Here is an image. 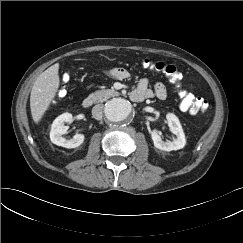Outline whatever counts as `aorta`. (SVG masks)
Here are the masks:
<instances>
[{
    "instance_id": "1",
    "label": "aorta",
    "mask_w": 243,
    "mask_h": 243,
    "mask_svg": "<svg viewBox=\"0 0 243 243\" xmlns=\"http://www.w3.org/2000/svg\"><path fill=\"white\" fill-rule=\"evenodd\" d=\"M131 110V104L127 100L115 98L106 103L104 113L109 121L120 123L129 117Z\"/></svg>"
}]
</instances>
